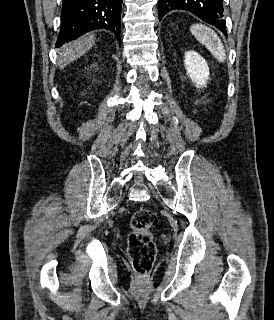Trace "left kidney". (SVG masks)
Instances as JSON below:
<instances>
[{"mask_svg":"<svg viewBox=\"0 0 274 320\" xmlns=\"http://www.w3.org/2000/svg\"><path fill=\"white\" fill-rule=\"evenodd\" d=\"M187 76L196 84V88H206L209 80V68L206 60L199 56L197 52H186L184 60Z\"/></svg>","mask_w":274,"mask_h":320,"instance_id":"5707ae66","label":"left kidney"}]
</instances>
